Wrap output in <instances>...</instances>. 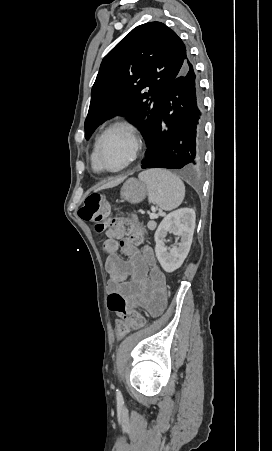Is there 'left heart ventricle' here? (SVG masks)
I'll use <instances>...</instances> for the list:
<instances>
[{
  "label": "left heart ventricle",
  "mask_w": 272,
  "mask_h": 451,
  "mask_svg": "<svg viewBox=\"0 0 272 451\" xmlns=\"http://www.w3.org/2000/svg\"><path fill=\"white\" fill-rule=\"evenodd\" d=\"M129 157L128 143L120 132L110 133L100 150L98 163L103 168L115 171L125 165Z\"/></svg>",
  "instance_id": "obj_1"
}]
</instances>
